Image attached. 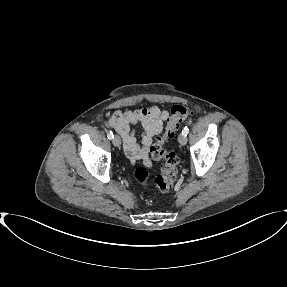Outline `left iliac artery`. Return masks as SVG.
Here are the masks:
<instances>
[{"label":"left iliac artery","instance_id":"44dca946","mask_svg":"<svg viewBox=\"0 0 287 287\" xmlns=\"http://www.w3.org/2000/svg\"><path fill=\"white\" fill-rule=\"evenodd\" d=\"M183 134H185V136H187V134L189 133V128L186 126L183 131H182Z\"/></svg>","mask_w":287,"mask_h":287}]
</instances>
